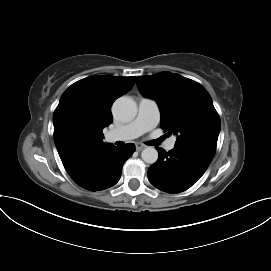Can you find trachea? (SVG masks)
<instances>
[{
    "mask_svg": "<svg viewBox=\"0 0 271 271\" xmlns=\"http://www.w3.org/2000/svg\"><path fill=\"white\" fill-rule=\"evenodd\" d=\"M165 138H166V137H165V136H163V137L161 138V141H162V140H164Z\"/></svg>",
    "mask_w": 271,
    "mask_h": 271,
    "instance_id": "obj_1",
    "label": "trachea"
}]
</instances>
